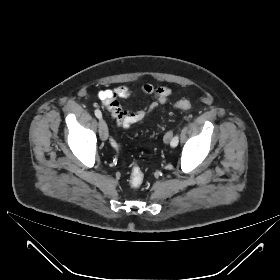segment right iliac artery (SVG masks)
<instances>
[{
  "mask_svg": "<svg viewBox=\"0 0 280 280\" xmlns=\"http://www.w3.org/2000/svg\"><path fill=\"white\" fill-rule=\"evenodd\" d=\"M95 116L98 118V119H101L102 118V113L100 110H95ZM111 144L113 147L115 148H118V144L115 142V140L111 139Z\"/></svg>",
  "mask_w": 280,
  "mask_h": 280,
  "instance_id": "1",
  "label": "right iliac artery"
}]
</instances>
